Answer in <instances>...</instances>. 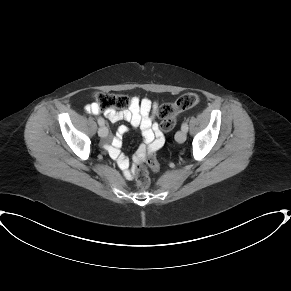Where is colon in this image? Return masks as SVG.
I'll use <instances>...</instances> for the list:
<instances>
[{"label":"colon","instance_id":"obj_1","mask_svg":"<svg viewBox=\"0 0 291 291\" xmlns=\"http://www.w3.org/2000/svg\"><path fill=\"white\" fill-rule=\"evenodd\" d=\"M95 103L101 112L109 109L124 108L130 104V100L126 95L116 94L112 92H97L95 94ZM199 102L198 95L194 93H187L181 95L173 103L162 104L158 109V115L161 119V129L168 132L173 129L176 123L177 115L186 109L192 108ZM160 148V143L155 142L148 150L147 153L139 152L134 158V171L136 176V185L139 189H147L150 186V177L146 163L157 168L154 160L155 152Z\"/></svg>","mask_w":291,"mask_h":291}]
</instances>
